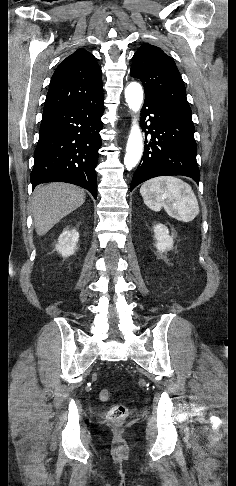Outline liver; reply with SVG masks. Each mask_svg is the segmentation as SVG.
I'll return each instance as SVG.
<instances>
[{
    "label": "liver",
    "mask_w": 236,
    "mask_h": 486,
    "mask_svg": "<svg viewBox=\"0 0 236 486\" xmlns=\"http://www.w3.org/2000/svg\"><path fill=\"white\" fill-rule=\"evenodd\" d=\"M82 189L68 183H49L35 188L31 211L36 232L45 235L56 223L85 201Z\"/></svg>",
    "instance_id": "1"
}]
</instances>
